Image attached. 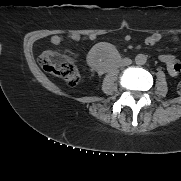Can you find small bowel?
Returning <instances> with one entry per match:
<instances>
[{
    "label": "small bowel",
    "mask_w": 181,
    "mask_h": 181,
    "mask_svg": "<svg viewBox=\"0 0 181 181\" xmlns=\"http://www.w3.org/2000/svg\"><path fill=\"white\" fill-rule=\"evenodd\" d=\"M92 39L91 36L88 37ZM71 39L79 40L80 36L73 34L71 35ZM126 41H131L132 38L130 36H126ZM162 39V34L160 33H153L147 36L144 40L145 44L148 46H153L158 43ZM177 40V38H174ZM53 45H59L63 41V37L61 35H53L50 39ZM160 60L166 65L168 73L172 77H176L181 73V62H179L173 55H161Z\"/></svg>",
    "instance_id": "small-bowel-1"
}]
</instances>
